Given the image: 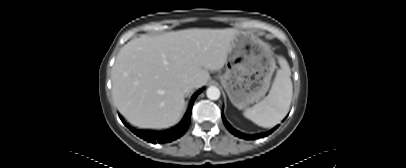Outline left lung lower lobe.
I'll return each instance as SVG.
<instances>
[{
    "instance_id": "left-lung-lower-lobe-1",
    "label": "left lung lower lobe",
    "mask_w": 406,
    "mask_h": 168,
    "mask_svg": "<svg viewBox=\"0 0 406 168\" xmlns=\"http://www.w3.org/2000/svg\"><path fill=\"white\" fill-rule=\"evenodd\" d=\"M222 119L224 122V125L226 126V128L235 136L243 138V139H247V140H253V139H258V138H263L265 136H268L269 134H271L274 130H276L278 128L279 125H277L276 127H274L272 130L266 132V133H260V134H254V135H246L243 134L237 130H235L225 119L224 114L222 113Z\"/></svg>"
}]
</instances>
